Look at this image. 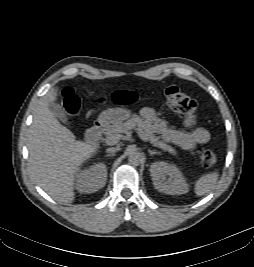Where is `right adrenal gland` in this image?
<instances>
[{"instance_id": "right-adrenal-gland-1", "label": "right adrenal gland", "mask_w": 254, "mask_h": 267, "mask_svg": "<svg viewBox=\"0 0 254 267\" xmlns=\"http://www.w3.org/2000/svg\"><path fill=\"white\" fill-rule=\"evenodd\" d=\"M115 154L114 153H111V154H107L106 157H110V156H114Z\"/></svg>"}]
</instances>
